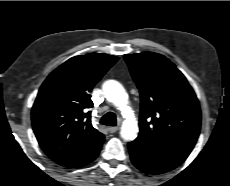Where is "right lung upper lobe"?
<instances>
[{"label": "right lung upper lobe", "mask_w": 230, "mask_h": 186, "mask_svg": "<svg viewBox=\"0 0 230 186\" xmlns=\"http://www.w3.org/2000/svg\"><path fill=\"white\" fill-rule=\"evenodd\" d=\"M116 56H75L42 84L32 108L33 130L43 151L56 163L76 168L101 149L104 135L91 124L89 93Z\"/></svg>", "instance_id": "obj_1"}]
</instances>
